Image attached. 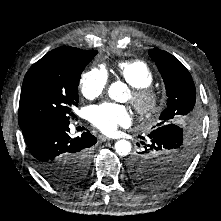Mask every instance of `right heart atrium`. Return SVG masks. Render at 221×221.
<instances>
[{
    "label": "right heart atrium",
    "instance_id": "obj_1",
    "mask_svg": "<svg viewBox=\"0 0 221 221\" xmlns=\"http://www.w3.org/2000/svg\"><path fill=\"white\" fill-rule=\"evenodd\" d=\"M108 82L109 76L106 69L93 67L82 74L79 86L84 97L94 99L103 94Z\"/></svg>",
    "mask_w": 221,
    "mask_h": 221
}]
</instances>
